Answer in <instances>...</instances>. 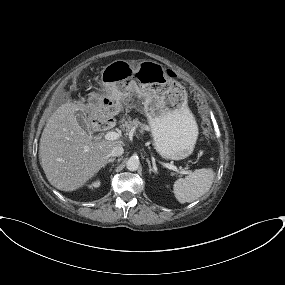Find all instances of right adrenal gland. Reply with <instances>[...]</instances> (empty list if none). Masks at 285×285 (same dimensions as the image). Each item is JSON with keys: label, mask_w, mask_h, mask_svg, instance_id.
<instances>
[{"label": "right adrenal gland", "mask_w": 285, "mask_h": 285, "mask_svg": "<svg viewBox=\"0 0 285 285\" xmlns=\"http://www.w3.org/2000/svg\"><path fill=\"white\" fill-rule=\"evenodd\" d=\"M114 160H115V158H110V159L108 160V163H113Z\"/></svg>", "instance_id": "right-adrenal-gland-1"}]
</instances>
